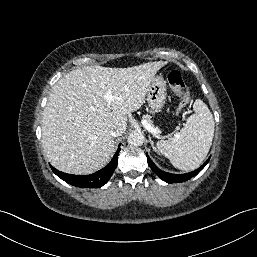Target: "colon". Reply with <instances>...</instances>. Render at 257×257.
Returning <instances> with one entry per match:
<instances>
[{
    "label": "colon",
    "mask_w": 257,
    "mask_h": 257,
    "mask_svg": "<svg viewBox=\"0 0 257 257\" xmlns=\"http://www.w3.org/2000/svg\"><path fill=\"white\" fill-rule=\"evenodd\" d=\"M167 80L171 92L180 99L178 105L179 112L184 109L190 102L188 87L186 86L182 75L177 70L170 71Z\"/></svg>",
    "instance_id": "obj_1"
}]
</instances>
